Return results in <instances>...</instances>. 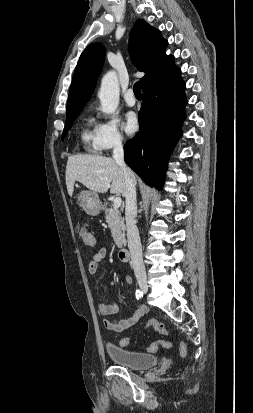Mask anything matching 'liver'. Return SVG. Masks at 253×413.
Masks as SVG:
<instances>
[{"mask_svg":"<svg viewBox=\"0 0 253 413\" xmlns=\"http://www.w3.org/2000/svg\"><path fill=\"white\" fill-rule=\"evenodd\" d=\"M132 178L136 184L133 172ZM75 181L96 193H106L110 189V193L124 196L126 190L122 168L114 159L104 156H70L66 166V185L70 196L73 194Z\"/></svg>","mask_w":253,"mask_h":413,"instance_id":"obj_1","label":"liver"}]
</instances>
